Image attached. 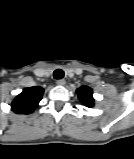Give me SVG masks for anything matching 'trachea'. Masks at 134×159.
I'll return each mask as SVG.
<instances>
[{
    "label": "trachea",
    "mask_w": 134,
    "mask_h": 159,
    "mask_svg": "<svg viewBox=\"0 0 134 159\" xmlns=\"http://www.w3.org/2000/svg\"><path fill=\"white\" fill-rule=\"evenodd\" d=\"M53 75L55 79H62L64 77V71L62 69H56Z\"/></svg>",
    "instance_id": "3493384b"
}]
</instances>
